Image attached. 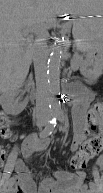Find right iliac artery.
I'll return each mask as SVG.
<instances>
[{
    "label": "right iliac artery",
    "instance_id": "right-iliac-artery-1",
    "mask_svg": "<svg viewBox=\"0 0 103 193\" xmlns=\"http://www.w3.org/2000/svg\"><path fill=\"white\" fill-rule=\"evenodd\" d=\"M57 124V115L56 114H51V118L47 126L39 133V136L42 137H47L49 136L54 128L56 127Z\"/></svg>",
    "mask_w": 103,
    "mask_h": 193
}]
</instances>
